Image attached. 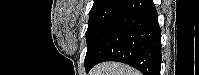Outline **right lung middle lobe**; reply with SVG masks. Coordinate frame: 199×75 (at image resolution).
Masks as SVG:
<instances>
[{"label": "right lung middle lobe", "instance_id": "dd1d6c3e", "mask_svg": "<svg viewBox=\"0 0 199 75\" xmlns=\"http://www.w3.org/2000/svg\"><path fill=\"white\" fill-rule=\"evenodd\" d=\"M127 1L110 0L92 7L86 32L87 53L84 60L85 65L89 62L91 53L99 43L108 25L125 6Z\"/></svg>", "mask_w": 199, "mask_h": 75}]
</instances>
